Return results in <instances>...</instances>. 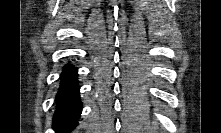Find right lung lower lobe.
<instances>
[{
  "mask_svg": "<svg viewBox=\"0 0 221 133\" xmlns=\"http://www.w3.org/2000/svg\"><path fill=\"white\" fill-rule=\"evenodd\" d=\"M60 89L56 97V112L53 128L59 133H68L73 129L81 114L82 103L79 97L77 68L66 65L60 76Z\"/></svg>",
  "mask_w": 221,
  "mask_h": 133,
  "instance_id": "1",
  "label": "right lung lower lobe"
}]
</instances>
